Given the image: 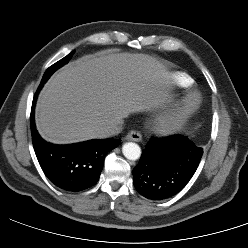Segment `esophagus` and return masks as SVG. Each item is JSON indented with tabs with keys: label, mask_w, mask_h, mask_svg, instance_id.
Segmentation results:
<instances>
[{
	"label": "esophagus",
	"mask_w": 248,
	"mask_h": 248,
	"mask_svg": "<svg viewBox=\"0 0 248 248\" xmlns=\"http://www.w3.org/2000/svg\"><path fill=\"white\" fill-rule=\"evenodd\" d=\"M125 139L128 141L140 142L142 140V135L138 131L132 130L126 135Z\"/></svg>",
	"instance_id": "34e87169"
}]
</instances>
